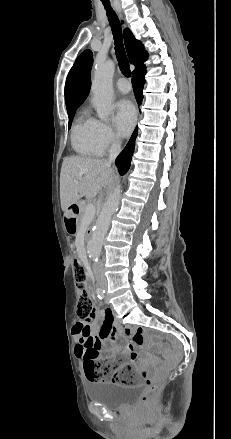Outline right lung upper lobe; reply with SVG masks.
Listing matches in <instances>:
<instances>
[{
	"instance_id": "cb5924a9",
	"label": "right lung upper lobe",
	"mask_w": 231,
	"mask_h": 439,
	"mask_svg": "<svg viewBox=\"0 0 231 439\" xmlns=\"http://www.w3.org/2000/svg\"><path fill=\"white\" fill-rule=\"evenodd\" d=\"M124 42L131 64L135 70L144 66L143 62L148 58L142 43L135 39L132 32L124 30ZM93 64V54L85 50L71 68L65 83V102L67 110L78 108L89 94L91 81L90 72Z\"/></svg>"
}]
</instances>
